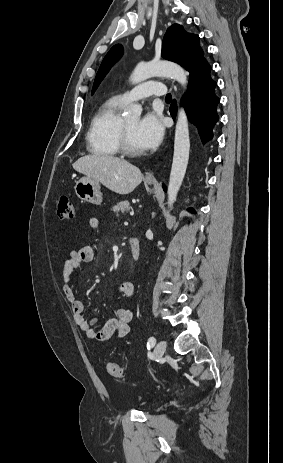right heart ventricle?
Listing matches in <instances>:
<instances>
[{
  "instance_id": "obj_1",
  "label": "right heart ventricle",
  "mask_w": 283,
  "mask_h": 463,
  "mask_svg": "<svg viewBox=\"0 0 283 463\" xmlns=\"http://www.w3.org/2000/svg\"><path fill=\"white\" fill-rule=\"evenodd\" d=\"M125 103L118 97L106 100L94 113L86 135L87 149L94 155L113 157L119 153L120 111Z\"/></svg>"
}]
</instances>
